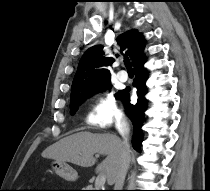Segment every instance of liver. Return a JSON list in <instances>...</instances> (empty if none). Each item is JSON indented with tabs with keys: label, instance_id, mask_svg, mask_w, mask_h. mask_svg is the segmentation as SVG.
Listing matches in <instances>:
<instances>
[{
	"label": "liver",
	"instance_id": "liver-1",
	"mask_svg": "<svg viewBox=\"0 0 210 191\" xmlns=\"http://www.w3.org/2000/svg\"><path fill=\"white\" fill-rule=\"evenodd\" d=\"M122 151V141L113 134H95L88 131L67 136L46 148L42 156L61 162H70L81 167H91L96 163L94 154L107 157L96 168L104 173L108 184H113Z\"/></svg>",
	"mask_w": 210,
	"mask_h": 191
}]
</instances>
